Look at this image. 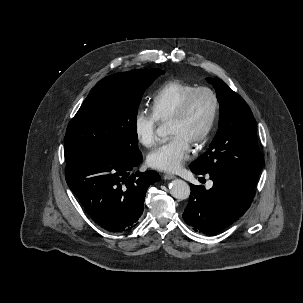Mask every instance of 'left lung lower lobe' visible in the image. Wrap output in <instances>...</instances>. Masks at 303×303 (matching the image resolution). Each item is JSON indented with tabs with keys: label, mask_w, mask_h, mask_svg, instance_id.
I'll return each mask as SVG.
<instances>
[{
	"label": "left lung lower lobe",
	"mask_w": 303,
	"mask_h": 303,
	"mask_svg": "<svg viewBox=\"0 0 303 303\" xmlns=\"http://www.w3.org/2000/svg\"><path fill=\"white\" fill-rule=\"evenodd\" d=\"M193 173H203L190 168ZM213 187L191 184L189 203L183 218L196 232L216 234L240 218L250 207L255 195V187L244 179L220 172L207 173Z\"/></svg>",
	"instance_id": "obj_1"
}]
</instances>
